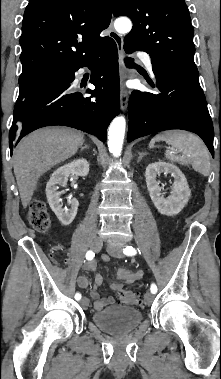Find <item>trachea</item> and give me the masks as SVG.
I'll use <instances>...</instances> for the list:
<instances>
[{
	"label": "trachea",
	"instance_id": "3493384b",
	"mask_svg": "<svg viewBox=\"0 0 221 379\" xmlns=\"http://www.w3.org/2000/svg\"><path fill=\"white\" fill-rule=\"evenodd\" d=\"M125 64L130 67L134 65V61L132 59L126 58L125 59Z\"/></svg>",
	"mask_w": 221,
	"mask_h": 379
}]
</instances>
